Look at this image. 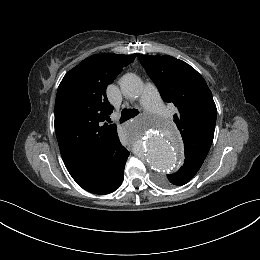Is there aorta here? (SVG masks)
<instances>
[{
    "instance_id": "1",
    "label": "aorta",
    "mask_w": 260,
    "mask_h": 260,
    "mask_svg": "<svg viewBox=\"0 0 260 260\" xmlns=\"http://www.w3.org/2000/svg\"><path fill=\"white\" fill-rule=\"evenodd\" d=\"M124 96L135 97L143 87L139 77L126 74L120 80ZM149 128L137 127L131 131L133 137L142 135V156L145 163L160 173L174 171L181 162V145L177 131L166 123H150Z\"/></svg>"
}]
</instances>
